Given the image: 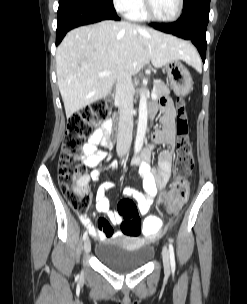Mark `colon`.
Listing matches in <instances>:
<instances>
[{
  "label": "colon",
  "mask_w": 247,
  "mask_h": 304,
  "mask_svg": "<svg viewBox=\"0 0 247 304\" xmlns=\"http://www.w3.org/2000/svg\"><path fill=\"white\" fill-rule=\"evenodd\" d=\"M109 105V101H97L89 108L72 114L67 122V133L59 155L58 181L68 204L80 215L85 214L90 206L87 175L81 151L95 122L108 117ZM177 106L175 182L170 191L161 194V201L167 204L170 211H175L185 201L188 194L187 177L194 165L184 101L178 99ZM117 213L122 219L121 231L124 235L136 237L142 232L143 238H152L162 230V223L156 216L148 217L142 225L137 206L129 198L120 200Z\"/></svg>",
  "instance_id": "1"
}]
</instances>
